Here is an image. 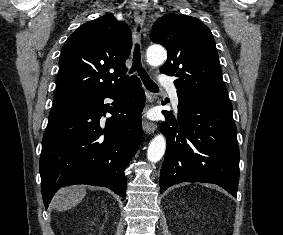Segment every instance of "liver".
I'll return each instance as SVG.
<instances>
[{"mask_svg":"<svg viewBox=\"0 0 283 235\" xmlns=\"http://www.w3.org/2000/svg\"><path fill=\"white\" fill-rule=\"evenodd\" d=\"M86 195L84 186L75 185L64 187L54 197V205L58 211L68 210L78 205Z\"/></svg>","mask_w":283,"mask_h":235,"instance_id":"liver-1","label":"liver"}]
</instances>
